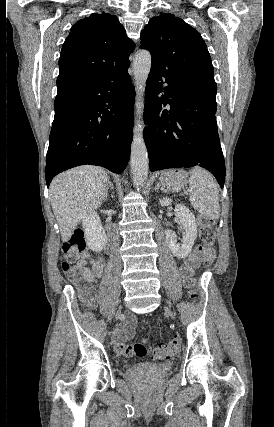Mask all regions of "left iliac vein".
<instances>
[{"label":"left iliac vein","mask_w":274,"mask_h":427,"mask_svg":"<svg viewBox=\"0 0 274 427\" xmlns=\"http://www.w3.org/2000/svg\"><path fill=\"white\" fill-rule=\"evenodd\" d=\"M165 313L170 316L172 319H175L173 313L171 312V310L168 307L164 308Z\"/></svg>","instance_id":"1"}]
</instances>
